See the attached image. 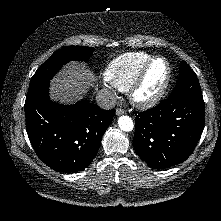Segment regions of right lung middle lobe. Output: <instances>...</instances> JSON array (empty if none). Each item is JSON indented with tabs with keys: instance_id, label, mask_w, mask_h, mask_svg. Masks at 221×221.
<instances>
[{
	"instance_id": "right-lung-middle-lobe-1",
	"label": "right lung middle lobe",
	"mask_w": 221,
	"mask_h": 221,
	"mask_svg": "<svg viewBox=\"0 0 221 221\" xmlns=\"http://www.w3.org/2000/svg\"><path fill=\"white\" fill-rule=\"evenodd\" d=\"M93 51L94 48L85 46H67L57 50L34 74L26 97L33 95L41 87L48 84L63 65L73 60H87Z\"/></svg>"
}]
</instances>
